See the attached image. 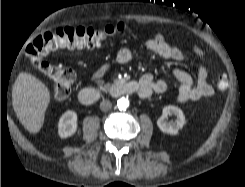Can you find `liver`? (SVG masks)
<instances>
[{"mask_svg": "<svg viewBox=\"0 0 245 187\" xmlns=\"http://www.w3.org/2000/svg\"><path fill=\"white\" fill-rule=\"evenodd\" d=\"M49 102L50 91L43 82L28 73L18 75L12 89V104L17 118L30 133H38L42 128Z\"/></svg>", "mask_w": 245, "mask_h": 187, "instance_id": "obj_1", "label": "liver"}]
</instances>
